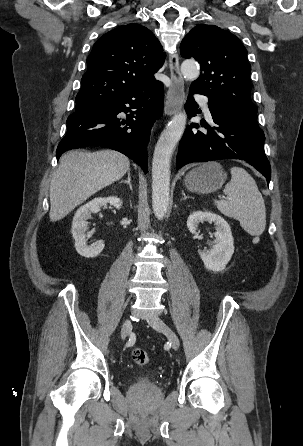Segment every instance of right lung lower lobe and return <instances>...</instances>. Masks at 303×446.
<instances>
[{
    "mask_svg": "<svg viewBox=\"0 0 303 446\" xmlns=\"http://www.w3.org/2000/svg\"><path fill=\"white\" fill-rule=\"evenodd\" d=\"M163 97V84L159 82L75 109L67 119V133L56 150L57 160L71 149L101 146L125 154L147 173V143L154 121L162 115ZM121 112L130 114L123 119Z\"/></svg>",
    "mask_w": 303,
    "mask_h": 446,
    "instance_id": "1",
    "label": "right lung lower lobe"
}]
</instances>
